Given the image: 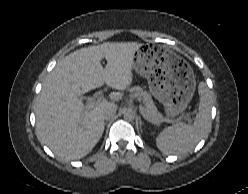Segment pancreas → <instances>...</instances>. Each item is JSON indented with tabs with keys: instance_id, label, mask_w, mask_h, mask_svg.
Returning a JSON list of instances; mask_svg holds the SVG:
<instances>
[{
	"instance_id": "pancreas-1",
	"label": "pancreas",
	"mask_w": 248,
	"mask_h": 194,
	"mask_svg": "<svg viewBox=\"0 0 248 194\" xmlns=\"http://www.w3.org/2000/svg\"><path fill=\"white\" fill-rule=\"evenodd\" d=\"M130 92L132 93L133 97L143 102V109L150 118L154 119L158 123L166 120L157 110V107L155 106L150 94L147 91H145L140 86H135L130 88Z\"/></svg>"
}]
</instances>
